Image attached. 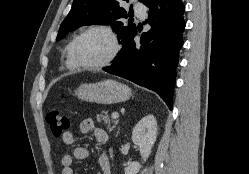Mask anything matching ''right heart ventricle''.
I'll use <instances>...</instances> for the list:
<instances>
[{
	"label": "right heart ventricle",
	"mask_w": 249,
	"mask_h": 174,
	"mask_svg": "<svg viewBox=\"0 0 249 174\" xmlns=\"http://www.w3.org/2000/svg\"><path fill=\"white\" fill-rule=\"evenodd\" d=\"M76 37H74L70 42L69 44L67 45V48H66V66L71 69V70H74V69H77L78 66L76 65L74 59H73V56H72V46H73V43H74V40H75Z\"/></svg>",
	"instance_id": "right-heart-ventricle-1"
}]
</instances>
